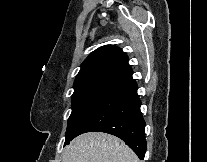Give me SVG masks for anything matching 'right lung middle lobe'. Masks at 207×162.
I'll list each match as a JSON object with an SVG mask.
<instances>
[{
    "label": "right lung middle lobe",
    "mask_w": 207,
    "mask_h": 162,
    "mask_svg": "<svg viewBox=\"0 0 207 162\" xmlns=\"http://www.w3.org/2000/svg\"><path fill=\"white\" fill-rule=\"evenodd\" d=\"M115 88L91 86L75 89L72 96V113L68 119L65 144L86 116L103 101Z\"/></svg>",
    "instance_id": "dd1d6c3e"
}]
</instances>
